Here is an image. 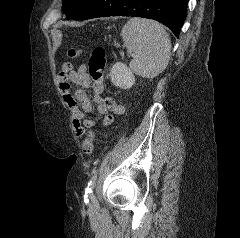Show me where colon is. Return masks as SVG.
<instances>
[{
    "mask_svg": "<svg viewBox=\"0 0 240 238\" xmlns=\"http://www.w3.org/2000/svg\"><path fill=\"white\" fill-rule=\"evenodd\" d=\"M81 54V50L70 49L68 56L76 58ZM89 73L95 82H103L105 79L106 55L103 47H96L89 58ZM95 134L89 132L83 141V151L85 154H91L94 149Z\"/></svg>",
    "mask_w": 240,
    "mask_h": 238,
    "instance_id": "1",
    "label": "colon"
}]
</instances>
